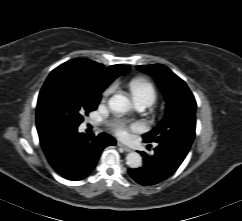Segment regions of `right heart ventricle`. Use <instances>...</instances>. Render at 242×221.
<instances>
[{
  "mask_svg": "<svg viewBox=\"0 0 242 221\" xmlns=\"http://www.w3.org/2000/svg\"><path fill=\"white\" fill-rule=\"evenodd\" d=\"M129 87L135 101H144L153 104L157 92L153 84L144 78H135L129 83Z\"/></svg>",
  "mask_w": 242,
  "mask_h": 221,
  "instance_id": "right-heart-ventricle-1",
  "label": "right heart ventricle"
}]
</instances>
